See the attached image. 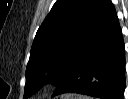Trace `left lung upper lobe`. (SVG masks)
<instances>
[{"instance_id": "1", "label": "left lung upper lobe", "mask_w": 128, "mask_h": 99, "mask_svg": "<svg viewBox=\"0 0 128 99\" xmlns=\"http://www.w3.org/2000/svg\"><path fill=\"white\" fill-rule=\"evenodd\" d=\"M110 0H57L38 29L26 68L24 98L45 83L57 84L73 55L83 47Z\"/></svg>"}]
</instances>
